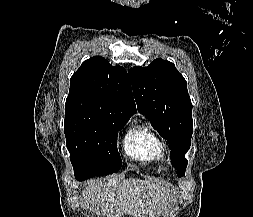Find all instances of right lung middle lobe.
I'll return each mask as SVG.
<instances>
[{"instance_id": "1", "label": "right lung middle lobe", "mask_w": 253, "mask_h": 217, "mask_svg": "<svg viewBox=\"0 0 253 217\" xmlns=\"http://www.w3.org/2000/svg\"><path fill=\"white\" fill-rule=\"evenodd\" d=\"M126 122L82 113L65 114L64 133L76 179L104 176L120 169L122 160L116 139Z\"/></svg>"}]
</instances>
